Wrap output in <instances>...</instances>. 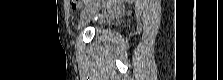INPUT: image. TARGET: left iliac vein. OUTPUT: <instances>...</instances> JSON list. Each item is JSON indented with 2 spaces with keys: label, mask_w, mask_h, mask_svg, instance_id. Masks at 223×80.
<instances>
[{
  "label": "left iliac vein",
  "mask_w": 223,
  "mask_h": 80,
  "mask_svg": "<svg viewBox=\"0 0 223 80\" xmlns=\"http://www.w3.org/2000/svg\"><path fill=\"white\" fill-rule=\"evenodd\" d=\"M99 6H100L99 0L87 5L85 11L81 15V19H80L79 25H78V30L82 29L90 21V19L98 11Z\"/></svg>",
  "instance_id": "1"
}]
</instances>
